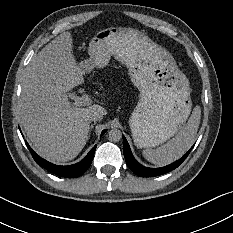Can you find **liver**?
<instances>
[{
	"label": "liver",
	"mask_w": 233,
	"mask_h": 233,
	"mask_svg": "<svg viewBox=\"0 0 233 233\" xmlns=\"http://www.w3.org/2000/svg\"><path fill=\"white\" fill-rule=\"evenodd\" d=\"M70 33L56 36L32 57L22 80L18 117L34 151L56 162L73 160L86 144L88 115L101 108L72 107L68 92L85 82L71 57Z\"/></svg>",
	"instance_id": "1"
}]
</instances>
